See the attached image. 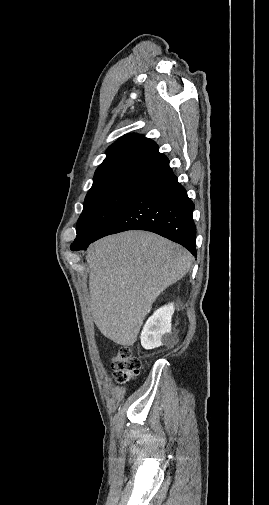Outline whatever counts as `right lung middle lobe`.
<instances>
[{
  "instance_id": "right-lung-middle-lobe-1",
  "label": "right lung middle lobe",
  "mask_w": 269,
  "mask_h": 505,
  "mask_svg": "<svg viewBox=\"0 0 269 505\" xmlns=\"http://www.w3.org/2000/svg\"><path fill=\"white\" fill-rule=\"evenodd\" d=\"M137 190L134 187L115 185L90 189L77 222V237L71 250L76 251L90 244Z\"/></svg>"
}]
</instances>
